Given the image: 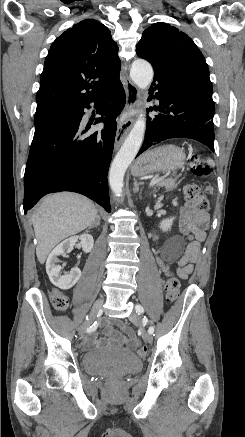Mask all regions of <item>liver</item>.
I'll return each instance as SVG.
<instances>
[{
  "label": "liver",
  "instance_id": "1",
  "mask_svg": "<svg viewBox=\"0 0 245 437\" xmlns=\"http://www.w3.org/2000/svg\"><path fill=\"white\" fill-rule=\"evenodd\" d=\"M97 215L94 204L79 194L63 192L44 198L32 214L39 262L43 264L59 242L90 227Z\"/></svg>",
  "mask_w": 245,
  "mask_h": 437
}]
</instances>
